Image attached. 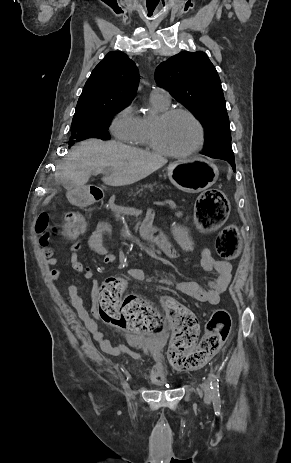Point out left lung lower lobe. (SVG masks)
Wrapping results in <instances>:
<instances>
[{
    "label": "left lung lower lobe",
    "mask_w": 291,
    "mask_h": 463,
    "mask_svg": "<svg viewBox=\"0 0 291 463\" xmlns=\"http://www.w3.org/2000/svg\"><path fill=\"white\" fill-rule=\"evenodd\" d=\"M218 159L226 160L229 164H231L233 171H235V160L234 158H227V157H218Z\"/></svg>",
    "instance_id": "1"
}]
</instances>
